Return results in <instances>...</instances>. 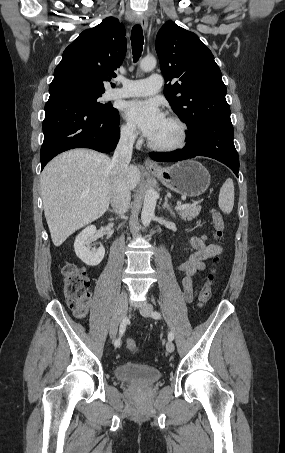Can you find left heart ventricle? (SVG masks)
Segmentation results:
<instances>
[{
  "label": "left heart ventricle",
  "mask_w": 285,
  "mask_h": 453,
  "mask_svg": "<svg viewBox=\"0 0 285 453\" xmlns=\"http://www.w3.org/2000/svg\"><path fill=\"white\" fill-rule=\"evenodd\" d=\"M179 138V129L175 123L165 118L155 136L151 139L157 144H172Z\"/></svg>",
  "instance_id": "1"
}]
</instances>
